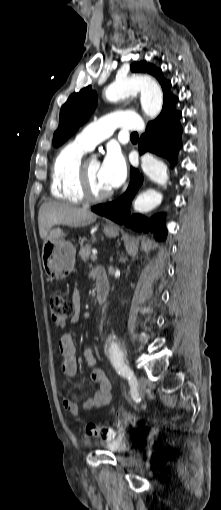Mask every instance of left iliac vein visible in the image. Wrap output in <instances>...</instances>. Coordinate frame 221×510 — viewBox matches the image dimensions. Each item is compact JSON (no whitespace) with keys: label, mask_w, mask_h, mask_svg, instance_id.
Returning a JSON list of instances; mask_svg holds the SVG:
<instances>
[{"label":"left iliac vein","mask_w":221,"mask_h":510,"mask_svg":"<svg viewBox=\"0 0 221 510\" xmlns=\"http://www.w3.org/2000/svg\"><path fill=\"white\" fill-rule=\"evenodd\" d=\"M147 386L146 378L143 376L138 377V393L141 397H144Z\"/></svg>","instance_id":"obj_1"}]
</instances>
